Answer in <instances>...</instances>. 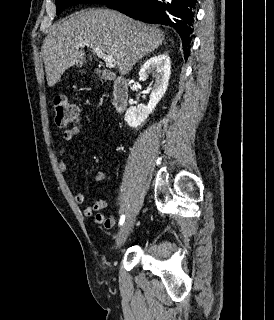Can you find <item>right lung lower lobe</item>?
I'll use <instances>...</instances> for the list:
<instances>
[{
	"instance_id": "obj_1",
	"label": "right lung lower lobe",
	"mask_w": 274,
	"mask_h": 320,
	"mask_svg": "<svg viewBox=\"0 0 274 320\" xmlns=\"http://www.w3.org/2000/svg\"><path fill=\"white\" fill-rule=\"evenodd\" d=\"M197 0H111L108 8L152 24L173 27L182 39L184 57L190 53V42L197 8Z\"/></svg>"
}]
</instances>
